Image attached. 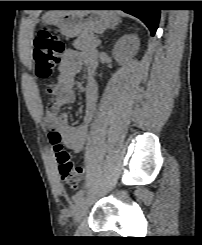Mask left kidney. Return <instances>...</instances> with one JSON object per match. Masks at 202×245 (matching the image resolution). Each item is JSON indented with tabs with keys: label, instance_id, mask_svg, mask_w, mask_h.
I'll return each instance as SVG.
<instances>
[{
	"label": "left kidney",
	"instance_id": "left-kidney-1",
	"mask_svg": "<svg viewBox=\"0 0 202 245\" xmlns=\"http://www.w3.org/2000/svg\"><path fill=\"white\" fill-rule=\"evenodd\" d=\"M139 46L140 40L137 35L126 34L116 42L113 49V56L118 62L124 63L137 54Z\"/></svg>",
	"mask_w": 202,
	"mask_h": 245
}]
</instances>
